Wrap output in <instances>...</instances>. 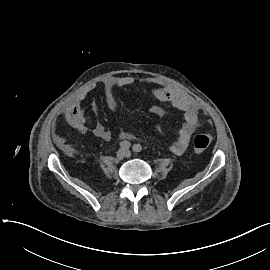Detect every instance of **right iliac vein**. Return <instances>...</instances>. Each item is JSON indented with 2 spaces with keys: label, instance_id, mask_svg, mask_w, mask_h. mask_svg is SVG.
<instances>
[{
  "label": "right iliac vein",
  "instance_id": "obj_1",
  "mask_svg": "<svg viewBox=\"0 0 270 270\" xmlns=\"http://www.w3.org/2000/svg\"><path fill=\"white\" fill-rule=\"evenodd\" d=\"M125 156H126V151L124 149L118 150L117 155H116L118 160H122Z\"/></svg>",
  "mask_w": 270,
  "mask_h": 270
}]
</instances>
